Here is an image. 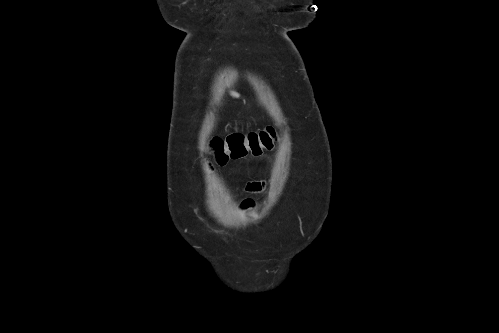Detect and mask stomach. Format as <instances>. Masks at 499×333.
<instances>
[{
    "label": "stomach",
    "mask_w": 499,
    "mask_h": 333,
    "mask_svg": "<svg viewBox=\"0 0 499 333\" xmlns=\"http://www.w3.org/2000/svg\"><path fill=\"white\" fill-rule=\"evenodd\" d=\"M232 95H233L234 97H238V93H236V92H233V93H232Z\"/></svg>",
    "instance_id": "1"
}]
</instances>
